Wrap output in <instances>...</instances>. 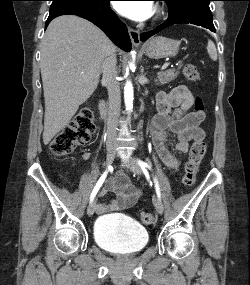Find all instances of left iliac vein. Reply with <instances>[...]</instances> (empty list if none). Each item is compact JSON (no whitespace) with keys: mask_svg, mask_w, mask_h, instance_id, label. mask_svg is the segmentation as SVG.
I'll return each mask as SVG.
<instances>
[{"mask_svg":"<svg viewBox=\"0 0 250 285\" xmlns=\"http://www.w3.org/2000/svg\"><path fill=\"white\" fill-rule=\"evenodd\" d=\"M126 164L129 166L130 170L137 175H140L142 173L140 165L137 163V161L131 157H128L125 159ZM155 208L158 213L162 214L164 211V206L159 198L154 199Z\"/></svg>","mask_w":250,"mask_h":285,"instance_id":"left-iliac-vein-1","label":"left iliac vein"}]
</instances>
